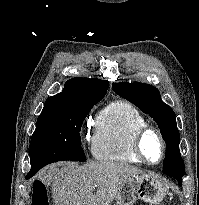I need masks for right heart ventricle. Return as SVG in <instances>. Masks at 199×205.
I'll use <instances>...</instances> for the list:
<instances>
[{"label":"right heart ventricle","instance_id":"1","mask_svg":"<svg viewBox=\"0 0 199 205\" xmlns=\"http://www.w3.org/2000/svg\"><path fill=\"white\" fill-rule=\"evenodd\" d=\"M147 126L141 112L126 101H114L98 114L93 139V154L97 160L140 164L132 151L135 132Z\"/></svg>","mask_w":199,"mask_h":205}]
</instances>
